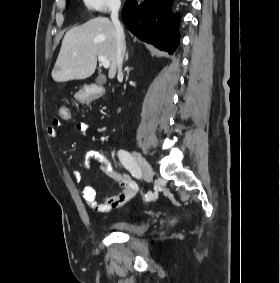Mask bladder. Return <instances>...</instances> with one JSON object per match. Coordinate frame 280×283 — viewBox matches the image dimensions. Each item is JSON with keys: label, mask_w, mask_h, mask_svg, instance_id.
<instances>
[{"label": "bladder", "mask_w": 280, "mask_h": 283, "mask_svg": "<svg viewBox=\"0 0 280 283\" xmlns=\"http://www.w3.org/2000/svg\"><path fill=\"white\" fill-rule=\"evenodd\" d=\"M151 224L149 222H127L117 221L112 223L111 228L117 232L129 234V235H140L145 233Z\"/></svg>", "instance_id": "obj_1"}]
</instances>
